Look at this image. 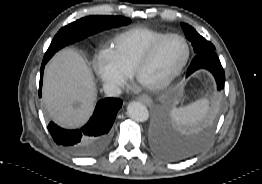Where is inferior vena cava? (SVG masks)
<instances>
[{"label": "inferior vena cava", "mask_w": 262, "mask_h": 184, "mask_svg": "<svg viewBox=\"0 0 262 184\" xmlns=\"http://www.w3.org/2000/svg\"><path fill=\"white\" fill-rule=\"evenodd\" d=\"M103 90H104L105 94L109 97H117L122 93L121 88L113 82H109V83L104 84Z\"/></svg>", "instance_id": "602c4592"}]
</instances>
